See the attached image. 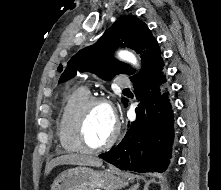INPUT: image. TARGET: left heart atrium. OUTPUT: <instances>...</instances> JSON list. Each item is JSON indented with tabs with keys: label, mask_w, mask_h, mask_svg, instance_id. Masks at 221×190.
<instances>
[{
	"label": "left heart atrium",
	"mask_w": 221,
	"mask_h": 190,
	"mask_svg": "<svg viewBox=\"0 0 221 190\" xmlns=\"http://www.w3.org/2000/svg\"><path fill=\"white\" fill-rule=\"evenodd\" d=\"M112 115H113V118H114V120H115V114H114V112L112 111Z\"/></svg>",
	"instance_id": "39dd6f15"
}]
</instances>
